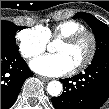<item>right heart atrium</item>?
I'll return each mask as SVG.
<instances>
[{"mask_svg": "<svg viewBox=\"0 0 109 109\" xmlns=\"http://www.w3.org/2000/svg\"><path fill=\"white\" fill-rule=\"evenodd\" d=\"M48 41L49 39L40 26L21 30L16 34L18 50L26 59H31L45 51Z\"/></svg>", "mask_w": 109, "mask_h": 109, "instance_id": "right-heart-atrium-1", "label": "right heart atrium"}]
</instances>
